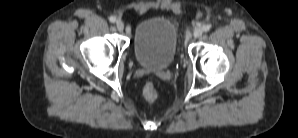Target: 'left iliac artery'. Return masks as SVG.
Returning a JSON list of instances; mask_svg holds the SVG:
<instances>
[{"mask_svg":"<svg viewBox=\"0 0 298 138\" xmlns=\"http://www.w3.org/2000/svg\"><path fill=\"white\" fill-rule=\"evenodd\" d=\"M211 29V26L210 25H204L203 27H202V30L204 31V32H208L209 30Z\"/></svg>","mask_w":298,"mask_h":138,"instance_id":"1","label":"left iliac artery"}]
</instances>
